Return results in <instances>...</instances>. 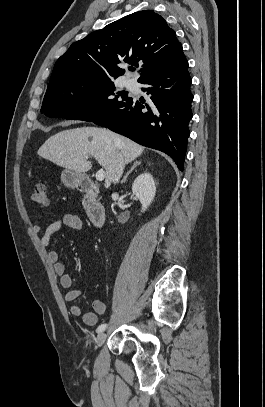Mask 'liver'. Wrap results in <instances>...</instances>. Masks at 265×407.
<instances>
[{
    "instance_id": "6515ba94",
    "label": "liver",
    "mask_w": 265,
    "mask_h": 407,
    "mask_svg": "<svg viewBox=\"0 0 265 407\" xmlns=\"http://www.w3.org/2000/svg\"><path fill=\"white\" fill-rule=\"evenodd\" d=\"M143 150L141 145L107 129L80 127L51 136L39 148L38 155L78 173L91 169L88 158L92 156L104 168L105 187H109L117 156L120 155L124 163L128 164L139 157Z\"/></svg>"
}]
</instances>
